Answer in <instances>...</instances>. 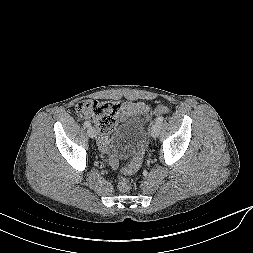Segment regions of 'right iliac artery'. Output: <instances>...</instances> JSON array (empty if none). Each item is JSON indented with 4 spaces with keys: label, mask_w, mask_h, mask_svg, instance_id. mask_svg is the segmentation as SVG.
I'll use <instances>...</instances> for the list:
<instances>
[{
    "label": "right iliac artery",
    "mask_w": 253,
    "mask_h": 253,
    "mask_svg": "<svg viewBox=\"0 0 253 253\" xmlns=\"http://www.w3.org/2000/svg\"><path fill=\"white\" fill-rule=\"evenodd\" d=\"M84 126H85V127H91V123H90L89 121H85V122H84Z\"/></svg>",
    "instance_id": "82829eb1"
}]
</instances>
